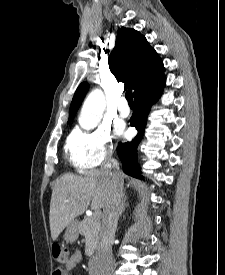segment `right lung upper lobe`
Returning a JSON list of instances; mask_svg holds the SVG:
<instances>
[{
	"label": "right lung upper lobe",
	"mask_w": 225,
	"mask_h": 275,
	"mask_svg": "<svg viewBox=\"0 0 225 275\" xmlns=\"http://www.w3.org/2000/svg\"><path fill=\"white\" fill-rule=\"evenodd\" d=\"M108 61L113 75L118 81L125 83V88L134 90V97L153 80L164 75L159 55L146 38L134 29L120 28L117 31L115 47ZM88 88L86 82L77 88L69 109L68 122L75 116Z\"/></svg>",
	"instance_id": "cb5924a9"
}]
</instances>
